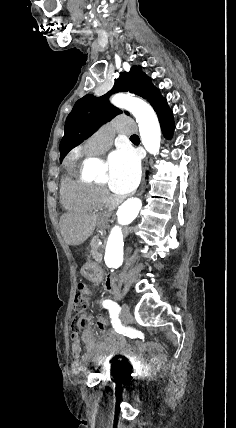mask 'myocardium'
Masks as SVG:
<instances>
[{"label":"myocardium","mask_w":236,"mask_h":428,"mask_svg":"<svg viewBox=\"0 0 236 428\" xmlns=\"http://www.w3.org/2000/svg\"><path fill=\"white\" fill-rule=\"evenodd\" d=\"M98 187H104V185H103V184H99V183H98Z\"/></svg>","instance_id":"obj_1"}]
</instances>
